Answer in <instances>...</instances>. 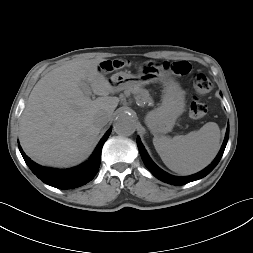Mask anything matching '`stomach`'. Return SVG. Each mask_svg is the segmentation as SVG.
Segmentation results:
<instances>
[{"label":"stomach","mask_w":253,"mask_h":253,"mask_svg":"<svg viewBox=\"0 0 253 253\" xmlns=\"http://www.w3.org/2000/svg\"><path fill=\"white\" fill-rule=\"evenodd\" d=\"M157 81L164 84L162 103L145 117V123L153 134L171 131L176 119L185 109L184 91L171 73L156 62L147 61L139 67L137 75L121 71L109 79V83L117 91L130 90Z\"/></svg>","instance_id":"obj_1"}]
</instances>
